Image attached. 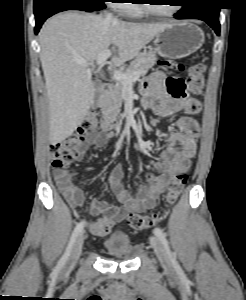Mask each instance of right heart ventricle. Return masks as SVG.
I'll return each instance as SVG.
<instances>
[{"mask_svg":"<svg viewBox=\"0 0 246 300\" xmlns=\"http://www.w3.org/2000/svg\"><path fill=\"white\" fill-rule=\"evenodd\" d=\"M121 11L130 17H140L144 14L139 5L134 3H126L122 5Z\"/></svg>","mask_w":246,"mask_h":300,"instance_id":"obj_1","label":"right heart ventricle"}]
</instances>
